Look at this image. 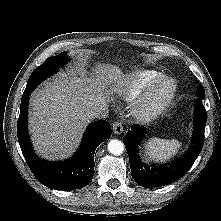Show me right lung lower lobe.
<instances>
[{
  "mask_svg": "<svg viewBox=\"0 0 221 221\" xmlns=\"http://www.w3.org/2000/svg\"><path fill=\"white\" fill-rule=\"evenodd\" d=\"M29 95L30 93L22 96L17 135L30 170L39 182L51 189L69 191L86 186L93 178L95 150L111 136L109 122L99 120L91 123L83 136L79 150L69 160L60 162L42 160L33 152L27 131Z\"/></svg>",
  "mask_w": 221,
  "mask_h": 221,
  "instance_id": "98d812e1",
  "label": "right lung lower lobe"
}]
</instances>
